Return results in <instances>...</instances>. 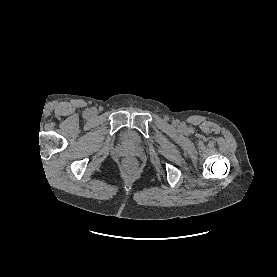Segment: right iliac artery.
<instances>
[{
    "label": "right iliac artery",
    "instance_id": "82829eb1",
    "mask_svg": "<svg viewBox=\"0 0 277 277\" xmlns=\"http://www.w3.org/2000/svg\"><path fill=\"white\" fill-rule=\"evenodd\" d=\"M86 114H89V111H86Z\"/></svg>",
    "mask_w": 277,
    "mask_h": 277
}]
</instances>
